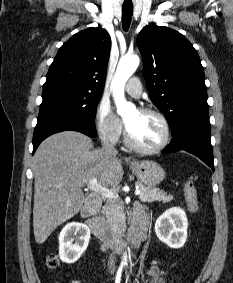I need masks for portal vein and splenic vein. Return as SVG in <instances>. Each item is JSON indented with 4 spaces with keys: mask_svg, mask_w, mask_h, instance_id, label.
I'll return each instance as SVG.
<instances>
[{
    "mask_svg": "<svg viewBox=\"0 0 233 283\" xmlns=\"http://www.w3.org/2000/svg\"><path fill=\"white\" fill-rule=\"evenodd\" d=\"M87 187L90 190H93L109 199H117L118 198V194L112 190H109L108 188L103 187L102 185L98 184L96 179L91 180ZM141 193V191L139 190V188H137L135 190V195H139Z\"/></svg>",
    "mask_w": 233,
    "mask_h": 283,
    "instance_id": "18ae733b",
    "label": "portal vein and splenic vein"
}]
</instances>
